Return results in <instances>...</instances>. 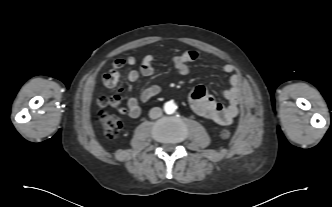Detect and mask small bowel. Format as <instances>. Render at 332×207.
<instances>
[{
    "instance_id": "obj_1",
    "label": "small bowel",
    "mask_w": 332,
    "mask_h": 207,
    "mask_svg": "<svg viewBox=\"0 0 332 207\" xmlns=\"http://www.w3.org/2000/svg\"><path fill=\"white\" fill-rule=\"evenodd\" d=\"M199 54L194 50L185 51L172 58V62L176 70L181 75H187L190 72V64L198 60ZM155 56L148 54L144 56L142 63L138 70H131L127 74V80L135 82L139 79L140 74L143 76H151L155 72L153 63ZM119 62L120 66L116 67L115 63ZM135 59L129 57L126 60L117 59L113 68L106 72L102 77L103 85L107 88L116 87L120 73V69L125 64L134 65ZM222 70L225 74L229 75L230 87L225 91V97L227 99V105L218 103L213 96L209 93L206 87L199 85L193 88L189 94V102L192 109L200 116L211 120L219 125H230L239 112V104L241 102V78L236 72L235 67L232 64L226 63L223 65ZM161 91V87L158 85H152L145 88L140 96L142 102H148L153 97L157 96ZM121 112H126L130 117L137 118L141 114V106L138 99L130 94L127 98L126 108L118 107Z\"/></svg>"
}]
</instances>
